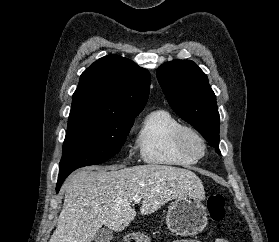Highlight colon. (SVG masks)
<instances>
[{"label": "colon", "instance_id": "5ec220e1", "mask_svg": "<svg viewBox=\"0 0 279 242\" xmlns=\"http://www.w3.org/2000/svg\"><path fill=\"white\" fill-rule=\"evenodd\" d=\"M207 207L210 218L213 221H221L225 216V200L221 194H213L208 197Z\"/></svg>", "mask_w": 279, "mask_h": 242}]
</instances>
